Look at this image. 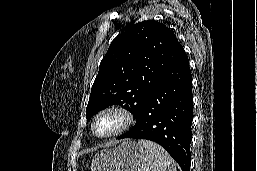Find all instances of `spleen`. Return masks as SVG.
I'll return each instance as SVG.
<instances>
[{
    "label": "spleen",
    "mask_w": 257,
    "mask_h": 171,
    "mask_svg": "<svg viewBox=\"0 0 257 171\" xmlns=\"http://www.w3.org/2000/svg\"><path fill=\"white\" fill-rule=\"evenodd\" d=\"M138 145L144 148L141 171H177L176 163L161 146L148 140H138Z\"/></svg>",
    "instance_id": "3e777b00"
}]
</instances>
